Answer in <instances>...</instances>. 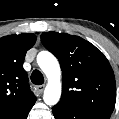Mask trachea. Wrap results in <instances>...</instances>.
<instances>
[{
	"label": "trachea",
	"mask_w": 119,
	"mask_h": 119,
	"mask_svg": "<svg viewBox=\"0 0 119 119\" xmlns=\"http://www.w3.org/2000/svg\"><path fill=\"white\" fill-rule=\"evenodd\" d=\"M31 81L35 85H42L44 83V77L39 70H34L31 74Z\"/></svg>",
	"instance_id": "3493384b"
}]
</instances>
